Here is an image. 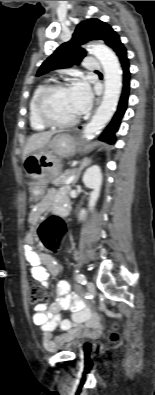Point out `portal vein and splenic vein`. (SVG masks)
<instances>
[{"label":"portal vein and splenic vein","mask_w":155,"mask_h":395,"mask_svg":"<svg viewBox=\"0 0 155 395\" xmlns=\"http://www.w3.org/2000/svg\"><path fill=\"white\" fill-rule=\"evenodd\" d=\"M74 177H75V175L73 174V175H71L66 181H65V183L64 184H70L72 181H73V179H74Z\"/></svg>","instance_id":"1"}]
</instances>
